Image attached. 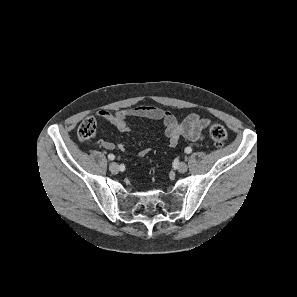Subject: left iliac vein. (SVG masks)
<instances>
[{"label": "left iliac vein", "instance_id": "4c4485c4", "mask_svg": "<svg viewBox=\"0 0 297 297\" xmlns=\"http://www.w3.org/2000/svg\"><path fill=\"white\" fill-rule=\"evenodd\" d=\"M188 169V166L185 162H181L178 164L177 166V170L180 172V173H185Z\"/></svg>", "mask_w": 297, "mask_h": 297}]
</instances>
